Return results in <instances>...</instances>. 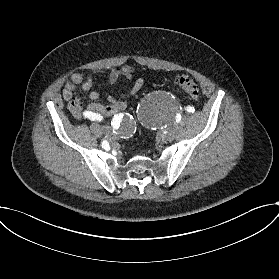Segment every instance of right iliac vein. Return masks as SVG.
<instances>
[{
    "label": "right iliac vein",
    "mask_w": 279,
    "mask_h": 279,
    "mask_svg": "<svg viewBox=\"0 0 279 279\" xmlns=\"http://www.w3.org/2000/svg\"><path fill=\"white\" fill-rule=\"evenodd\" d=\"M103 131L108 136H112L113 135V131H112V129L109 126H104L103 127Z\"/></svg>",
    "instance_id": "1"
}]
</instances>
